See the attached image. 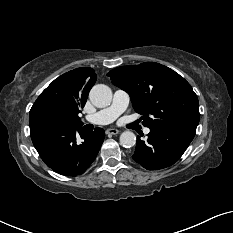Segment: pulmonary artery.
Segmentation results:
<instances>
[{
  "instance_id": "pulmonary-artery-1",
  "label": "pulmonary artery",
  "mask_w": 233,
  "mask_h": 233,
  "mask_svg": "<svg viewBox=\"0 0 233 233\" xmlns=\"http://www.w3.org/2000/svg\"><path fill=\"white\" fill-rule=\"evenodd\" d=\"M130 101L129 94L123 90H116L110 106L104 108L93 115L87 116L85 119L88 123L106 125L113 122L120 114H122ZM149 128L144 129V133L148 134Z\"/></svg>"
}]
</instances>
